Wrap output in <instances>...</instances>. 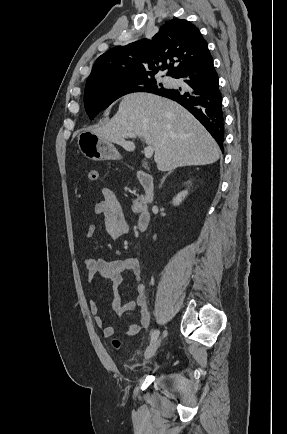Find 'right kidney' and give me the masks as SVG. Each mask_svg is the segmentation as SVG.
<instances>
[{"mask_svg": "<svg viewBox=\"0 0 287 434\" xmlns=\"http://www.w3.org/2000/svg\"><path fill=\"white\" fill-rule=\"evenodd\" d=\"M187 194H188L187 190L180 192L176 197L173 198L172 201L173 205L178 206L182 202V200H184Z\"/></svg>", "mask_w": 287, "mask_h": 434, "instance_id": "ca27d5eb", "label": "right kidney"}]
</instances>
